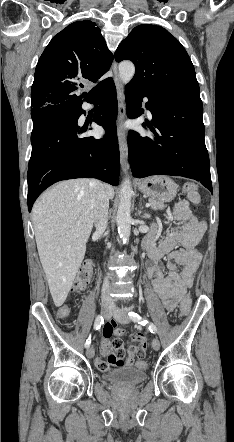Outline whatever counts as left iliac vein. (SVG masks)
Here are the masks:
<instances>
[{
    "label": "left iliac vein",
    "instance_id": "obj_1",
    "mask_svg": "<svg viewBox=\"0 0 234 442\" xmlns=\"http://www.w3.org/2000/svg\"><path fill=\"white\" fill-rule=\"evenodd\" d=\"M113 316L119 323H122V324H127L130 321L126 312L124 310L116 307L115 305H113ZM152 348L155 351L159 350V348H160V341L157 337L153 338V340H152Z\"/></svg>",
    "mask_w": 234,
    "mask_h": 442
}]
</instances>
